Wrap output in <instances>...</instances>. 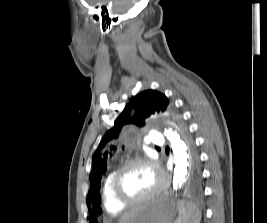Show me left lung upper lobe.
<instances>
[{
    "label": "left lung upper lobe",
    "instance_id": "obj_1",
    "mask_svg": "<svg viewBox=\"0 0 267 223\" xmlns=\"http://www.w3.org/2000/svg\"><path fill=\"white\" fill-rule=\"evenodd\" d=\"M134 109L135 115L130 117V111ZM165 113L179 120V126L185 136V143L188 148L189 155V171H201L199 165V157L195 151L193 141L187 136V130L177 116L173 103L162 93L156 90H146L135 96L130 103L127 104L124 111L116 119L114 126L106 132L102 138L98 148H102L108 141L115 137L116 133L122 126L133 123L142 127L145 125V119L154 113ZM111 151L96 152L92 156V171L89 176L91 189L88 192L86 203L88 205L89 214H92L90 222H94L97 214H106L105 206H100V184L102 176L107 171V165L111 158Z\"/></svg>",
    "mask_w": 267,
    "mask_h": 223
}]
</instances>
